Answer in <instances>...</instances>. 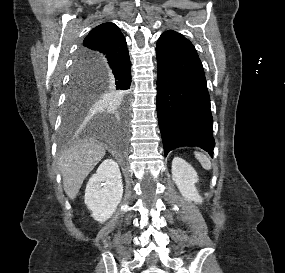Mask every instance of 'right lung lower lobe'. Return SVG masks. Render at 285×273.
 <instances>
[{
    "label": "right lung lower lobe",
    "mask_w": 285,
    "mask_h": 273,
    "mask_svg": "<svg viewBox=\"0 0 285 273\" xmlns=\"http://www.w3.org/2000/svg\"><path fill=\"white\" fill-rule=\"evenodd\" d=\"M90 69L100 77L102 84L113 90L123 92L130 88L131 62L128 54L119 59L93 64ZM121 125L125 127L124 117L121 119Z\"/></svg>",
    "instance_id": "obj_1"
}]
</instances>
